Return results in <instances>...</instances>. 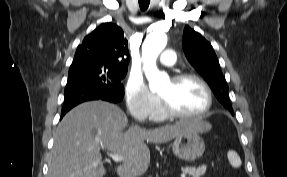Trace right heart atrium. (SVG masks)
Segmentation results:
<instances>
[{"label": "right heart atrium", "instance_id": "right-heart-atrium-1", "mask_svg": "<svg viewBox=\"0 0 287 177\" xmlns=\"http://www.w3.org/2000/svg\"><path fill=\"white\" fill-rule=\"evenodd\" d=\"M125 102L129 113L138 121L155 117L159 110V99L152 93L140 76H130L125 85Z\"/></svg>", "mask_w": 287, "mask_h": 177}]
</instances>
